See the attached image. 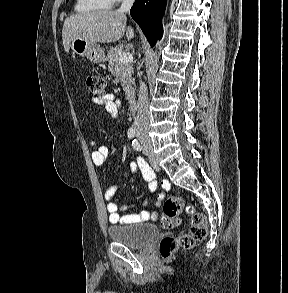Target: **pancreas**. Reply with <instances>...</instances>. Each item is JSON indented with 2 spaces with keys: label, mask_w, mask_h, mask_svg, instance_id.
<instances>
[{
  "label": "pancreas",
  "mask_w": 288,
  "mask_h": 293,
  "mask_svg": "<svg viewBox=\"0 0 288 293\" xmlns=\"http://www.w3.org/2000/svg\"><path fill=\"white\" fill-rule=\"evenodd\" d=\"M125 45L119 44L115 47H110L107 52V60L109 62V70L116 79H120L127 100H131L135 96V79L133 75L132 63H121L120 56L125 53Z\"/></svg>",
  "instance_id": "1"
}]
</instances>
